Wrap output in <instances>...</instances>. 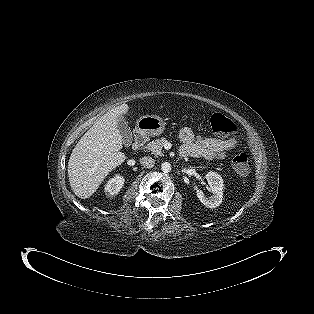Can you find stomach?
<instances>
[{"label": "stomach", "instance_id": "1", "mask_svg": "<svg viewBox=\"0 0 314 314\" xmlns=\"http://www.w3.org/2000/svg\"><path fill=\"white\" fill-rule=\"evenodd\" d=\"M135 129L141 135L159 136L165 130V122L159 116L146 115L137 121Z\"/></svg>", "mask_w": 314, "mask_h": 314}]
</instances>
